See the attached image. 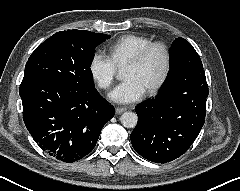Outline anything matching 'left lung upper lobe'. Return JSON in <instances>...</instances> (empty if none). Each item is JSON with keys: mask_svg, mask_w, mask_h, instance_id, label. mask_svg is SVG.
Listing matches in <instances>:
<instances>
[{"mask_svg": "<svg viewBox=\"0 0 240 191\" xmlns=\"http://www.w3.org/2000/svg\"><path fill=\"white\" fill-rule=\"evenodd\" d=\"M169 55L170 71L161 88L167 84L168 80L172 76H175V74L180 70V67L184 64H196L197 67L203 68L199 55L193 46L184 38L178 37L173 41L169 50Z\"/></svg>", "mask_w": 240, "mask_h": 191, "instance_id": "obj_1", "label": "left lung upper lobe"}]
</instances>
